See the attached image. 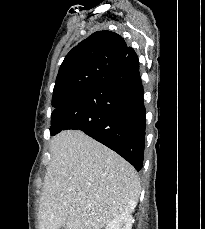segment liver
Instances as JSON below:
<instances>
[{
  "label": "liver",
  "mask_w": 205,
  "mask_h": 229,
  "mask_svg": "<svg viewBox=\"0 0 205 229\" xmlns=\"http://www.w3.org/2000/svg\"><path fill=\"white\" fill-rule=\"evenodd\" d=\"M50 163L40 198V229H102L131 213L141 191L126 160L81 131L51 140Z\"/></svg>",
  "instance_id": "liver-1"
}]
</instances>
